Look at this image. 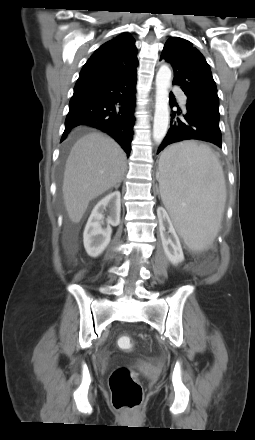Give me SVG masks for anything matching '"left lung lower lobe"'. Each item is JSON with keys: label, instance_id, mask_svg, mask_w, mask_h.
Here are the masks:
<instances>
[{"label": "left lung lower lobe", "instance_id": "1", "mask_svg": "<svg viewBox=\"0 0 255 440\" xmlns=\"http://www.w3.org/2000/svg\"><path fill=\"white\" fill-rule=\"evenodd\" d=\"M170 105L174 106L172 102ZM178 114H180L179 111ZM174 117L175 112L172 114L170 129L162 141L158 153L169 144L190 139L207 141L222 147L219 111L187 103L184 118L174 119Z\"/></svg>", "mask_w": 255, "mask_h": 440}]
</instances>
